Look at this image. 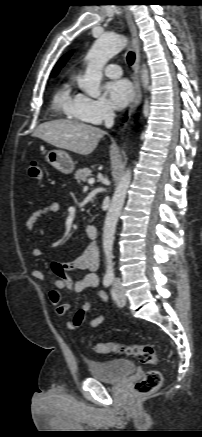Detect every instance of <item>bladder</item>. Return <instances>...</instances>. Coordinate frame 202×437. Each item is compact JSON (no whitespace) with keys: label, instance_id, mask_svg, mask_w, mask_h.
I'll list each match as a JSON object with an SVG mask.
<instances>
[{"label":"bladder","instance_id":"31cf9c89","mask_svg":"<svg viewBox=\"0 0 202 437\" xmlns=\"http://www.w3.org/2000/svg\"><path fill=\"white\" fill-rule=\"evenodd\" d=\"M87 366L92 378L107 383L120 382L136 369L135 363L129 359L90 361Z\"/></svg>","mask_w":202,"mask_h":437}]
</instances>
